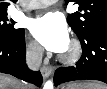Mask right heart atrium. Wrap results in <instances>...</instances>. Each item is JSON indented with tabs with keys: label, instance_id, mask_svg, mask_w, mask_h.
I'll return each instance as SVG.
<instances>
[{
	"label": "right heart atrium",
	"instance_id": "1",
	"mask_svg": "<svg viewBox=\"0 0 107 89\" xmlns=\"http://www.w3.org/2000/svg\"><path fill=\"white\" fill-rule=\"evenodd\" d=\"M26 53L30 60L39 61L42 56V49L34 40H28L26 43Z\"/></svg>",
	"mask_w": 107,
	"mask_h": 89
}]
</instances>
